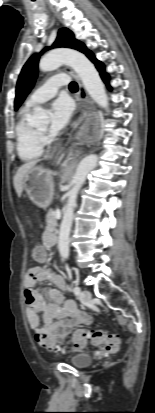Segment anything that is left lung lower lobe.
<instances>
[{
	"instance_id": "0a47b994",
	"label": "left lung lower lobe",
	"mask_w": 155,
	"mask_h": 413,
	"mask_svg": "<svg viewBox=\"0 0 155 413\" xmlns=\"http://www.w3.org/2000/svg\"><path fill=\"white\" fill-rule=\"evenodd\" d=\"M91 61L95 64L96 68L98 69V71L100 72V75L103 79V81L106 83L107 87L110 89V85H109V75L106 73L105 71V66L102 62H100L99 60H97L95 57H93L91 59Z\"/></svg>"
}]
</instances>
